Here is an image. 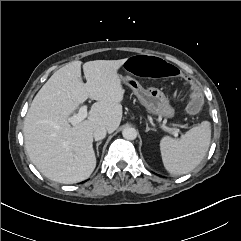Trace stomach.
<instances>
[{
  "label": "stomach",
  "instance_id": "1",
  "mask_svg": "<svg viewBox=\"0 0 241 241\" xmlns=\"http://www.w3.org/2000/svg\"><path fill=\"white\" fill-rule=\"evenodd\" d=\"M121 79L132 88L140 103L148 112L164 118L174 117L175 110L161 90L157 88L144 89L138 80L130 76H121Z\"/></svg>",
  "mask_w": 241,
  "mask_h": 241
}]
</instances>
